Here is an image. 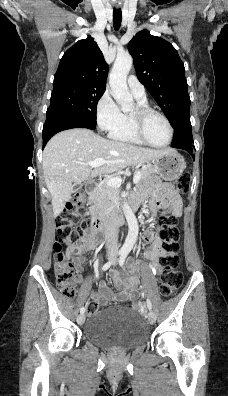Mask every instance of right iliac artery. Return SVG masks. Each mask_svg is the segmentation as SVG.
<instances>
[{"instance_id":"1","label":"right iliac artery","mask_w":228,"mask_h":396,"mask_svg":"<svg viewBox=\"0 0 228 396\" xmlns=\"http://www.w3.org/2000/svg\"><path fill=\"white\" fill-rule=\"evenodd\" d=\"M121 253H122V252H119L118 255H121ZM113 262H114V259H112V260L108 261L107 263H105L104 266L102 267V270H103V271L108 270V269L111 267V265L113 264ZM84 312H85V308L82 307V308L80 309V313H84Z\"/></svg>"}]
</instances>
